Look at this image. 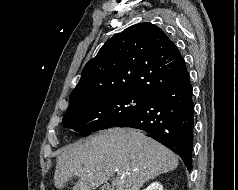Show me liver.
Listing matches in <instances>:
<instances>
[{
  "instance_id": "6515ba94",
  "label": "liver",
  "mask_w": 238,
  "mask_h": 190,
  "mask_svg": "<svg viewBox=\"0 0 238 190\" xmlns=\"http://www.w3.org/2000/svg\"><path fill=\"white\" fill-rule=\"evenodd\" d=\"M177 166L172 151L141 131L111 128L65 147L57 158L54 183L63 189L76 176L73 190H94L118 170L110 190H140Z\"/></svg>"
}]
</instances>
